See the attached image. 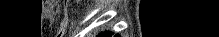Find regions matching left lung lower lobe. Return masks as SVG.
<instances>
[{"instance_id": "left-lung-lower-lobe-1", "label": "left lung lower lobe", "mask_w": 219, "mask_h": 37, "mask_svg": "<svg viewBox=\"0 0 219 37\" xmlns=\"http://www.w3.org/2000/svg\"><path fill=\"white\" fill-rule=\"evenodd\" d=\"M112 35V33L110 32H106V33H104V34H100L99 36L100 37H110ZM115 37H118V35H116Z\"/></svg>"}]
</instances>
